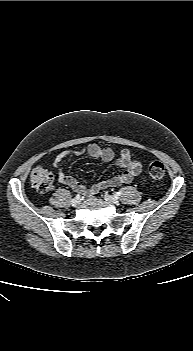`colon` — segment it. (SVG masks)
I'll list each match as a JSON object with an SVG mask.
<instances>
[{
    "mask_svg": "<svg viewBox=\"0 0 193 351\" xmlns=\"http://www.w3.org/2000/svg\"><path fill=\"white\" fill-rule=\"evenodd\" d=\"M148 172L152 179L161 180L165 176V166L160 161H153ZM30 183L38 194H46L53 185V175L44 167H37L30 175Z\"/></svg>",
    "mask_w": 193,
    "mask_h": 351,
    "instance_id": "5ec220e1",
    "label": "colon"
}]
</instances>
